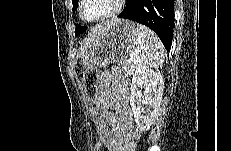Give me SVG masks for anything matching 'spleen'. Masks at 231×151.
Segmentation results:
<instances>
[{
	"label": "spleen",
	"instance_id": "obj_1",
	"mask_svg": "<svg viewBox=\"0 0 231 151\" xmlns=\"http://www.w3.org/2000/svg\"><path fill=\"white\" fill-rule=\"evenodd\" d=\"M134 53L137 66L158 69L165 58L164 46L158 36L142 24L134 31Z\"/></svg>",
	"mask_w": 231,
	"mask_h": 151
}]
</instances>
